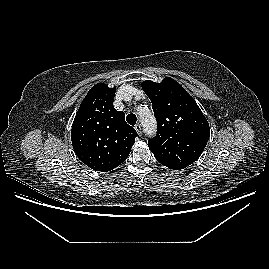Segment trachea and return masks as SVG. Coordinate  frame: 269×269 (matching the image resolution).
Here are the masks:
<instances>
[{
    "mask_svg": "<svg viewBox=\"0 0 269 269\" xmlns=\"http://www.w3.org/2000/svg\"><path fill=\"white\" fill-rule=\"evenodd\" d=\"M126 120L127 122L130 124V125H135L136 124V121H137V117L135 114H129L127 115L126 117Z\"/></svg>",
    "mask_w": 269,
    "mask_h": 269,
    "instance_id": "1",
    "label": "trachea"
}]
</instances>
